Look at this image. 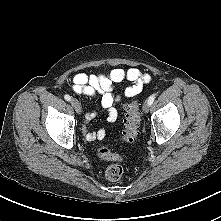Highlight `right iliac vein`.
<instances>
[{
  "mask_svg": "<svg viewBox=\"0 0 221 221\" xmlns=\"http://www.w3.org/2000/svg\"><path fill=\"white\" fill-rule=\"evenodd\" d=\"M71 105L73 106V108L75 109V111L78 113V114H81L82 113V108H81V105L79 103V101L75 98H72L71 99Z\"/></svg>",
  "mask_w": 221,
  "mask_h": 221,
  "instance_id": "obj_1",
  "label": "right iliac vein"
}]
</instances>
